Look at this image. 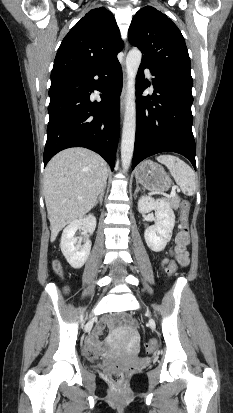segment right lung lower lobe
<instances>
[{
	"label": "right lung lower lobe",
	"mask_w": 233,
	"mask_h": 413,
	"mask_svg": "<svg viewBox=\"0 0 233 413\" xmlns=\"http://www.w3.org/2000/svg\"><path fill=\"white\" fill-rule=\"evenodd\" d=\"M121 89L122 69L117 58L51 77L44 167L63 149L85 147L100 154L114 169ZM93 90L103 92L100 102L90 100Z\"/></svg>",
	"instance_id": "obj_1"
}]
</instances>
